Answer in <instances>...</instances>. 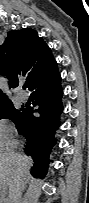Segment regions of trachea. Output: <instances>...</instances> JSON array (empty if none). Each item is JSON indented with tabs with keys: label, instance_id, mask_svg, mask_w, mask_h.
<instances>
[{
	"label": "trachea",
	"instance_id": "obj_1",
	"mask_svg": "<svg viewBox=\"0 0 89 203\" xmlns=\"http://www.w3.org/2000/svg\"><path fill=\"white\" fill-rule=\"evenodd\" d=\"M23 88L26 89V88H27V85H24Z\"/></svg>",
	"mask_w": 89,
	"mask_h": 203
}]
</instances>
